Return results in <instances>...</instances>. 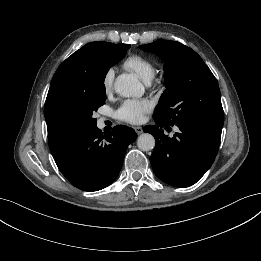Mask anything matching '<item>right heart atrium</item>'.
<instances>
[{
	"mask_svg": "<svg viewBox=\"0 0 261 261\" xmlns=\"http://www.w3.org/2000/svg\"><path fill=\"white\" fill-rule=\"evenodd\" d=\"M114 75V70L109 68L102 77V87L104 92L107 94L110 93L113 89Z\"/></svg>",
	"mask_w": 261,
	"mask_h": 261,
	"instance_id": "right-heart-atrium-1",
	"label": "right heart atrium"
}]
</instances>
